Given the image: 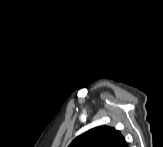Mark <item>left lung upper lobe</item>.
Wrapping results in <instances>:
<instances>
[{
    "label": "left lung upper lobe",
    "mask_w": 163,
    "mask_h": 147,
    "mask_svg": "<svg viewBox=\"0 0 163 147\" xmlns=\"http://www.w3.org/2000/svg\"><path fill=\"white\" fill-rule=\"evenodd\" d=\"M122 137L114 128L101 126L78 136L69 147H117Z\"/></svg>",
    "instance_id": "obj_1"
}]
</instances>
